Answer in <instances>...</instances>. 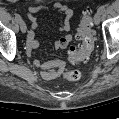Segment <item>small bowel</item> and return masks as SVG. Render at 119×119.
Returning a JSON list of instances; mask_svg holds the SVG:
<instances>
[{"instance_id": "obj_1", "label": "small bowel", "mask_w": 119, "mask_h": 119, "mask_svg": "<svg viewBox=\"0 0 119 119\" xmlns=\"http://www.w3.org/2000/svg\"><path fill=\"white\" fill-rule=\"evenodd\" d=\"M54 10L61 14V22L59 30L65 35L54 42L56 49H65L70 43L72 37L68 34L70 30V20L73 15V11L64 3L56 2L52 6L35 5L29 6L27 9V17L31 21V27L27 35V54L32 56V51L39 47V42L35 37L38 29L37 15L43 11ZM33 64L40 69L41 76L46 80H53L58 78L63 71V62L60 60H52L48 62H41L38 59L33 60Z\"/></svg>"}]
</instances>
